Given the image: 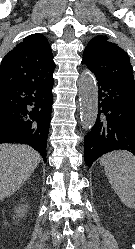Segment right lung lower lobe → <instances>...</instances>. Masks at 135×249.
I'll use <instances>...</instances> for the list:
<instances>
[{"label": "right lung lower lobe", "instance_id": "1", "mask_svg": "<svg viewBox=\"0 0 135 249\" xmlns=\"http://www.w3.org/2000/svg\"><path fill=\"white\" fill-rule=\"evenodd\" d=\"M54 79L0 88V142L28 144L46 162Z\"/></svg>", "mask_w": 135, "mask_h": 249}]
</instances>
